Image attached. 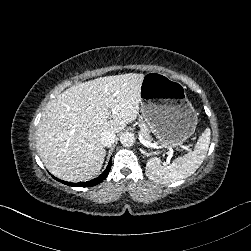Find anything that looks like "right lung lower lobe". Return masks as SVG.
Here are the masks:
<instances>
[{
    "mask_svg": "<svg viewBox=\"0 0 251 251\" xmlns=\"http://www.w3.org/2000/svg\"><path fill=\"white\" fill-rule=\"evenodd\" d=\"M111 169V161L109 162L106 170L97 178L91 180V181H88V182H80V183H69V182H64V181H61L55 177L56 180L66 184V185H69V186H75V187H91V186H94V185H97L99 184L100 182H102L108 175L109 171Z\"/></svg>",
    "mask_w": 251,
    "mask_h": 251,
    "instance_id": "obj_1",
    "label": "right lung lower lobe"
}]
</instances>
